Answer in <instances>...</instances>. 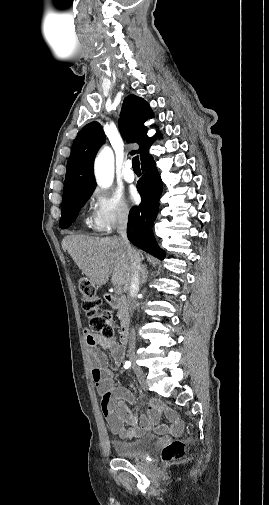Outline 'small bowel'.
<instances>
[{
	"label": "small bowel",
	"instance_id": "1",
	"mask_svg": "<svg viewBox=\"0 0 269 505\" xmlns=\"http://www.w3.org/2000/svg\"><path fill=\"white\" fill-rule=\"evenodd\" d=\"M85 336L92 364V378L101 399L102 413L110 431L126 440L138 438L151 430L158 434L181 435L184 423L161 400L151 399L147 414L139 417L128 406V404H137L134 393L125 387L114 385L113 373L108 367V358L103 350H108L114 362L121 365L124 359V347L113 337L92 335L89 332H86ZM163 413L167 414L168 424L160 423Z\"/></svg>",
	"mask_w": 269,
	"mask_h": 505
}]
</instances>
